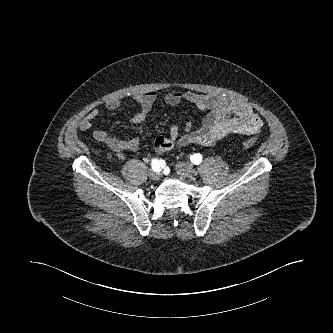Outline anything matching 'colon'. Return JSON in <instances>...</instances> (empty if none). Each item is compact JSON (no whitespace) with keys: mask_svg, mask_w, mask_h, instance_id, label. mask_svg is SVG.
Segmentation results:
<instances>
[{"mask_svg":"<svg viewBox=\"0 0 333 333\" xmlns=\"http://www.w3.org/2000/svg\"><path fill=\"white\" fill-rule=\"evenodd\" d=\"M255 145V142L251 139H248V140H245L243 143H242V146L244 149H251L253 146Z\"/></svg>","mask_w":333,"mask_h":333,"instance_id":"colon-1","label":"colon"}]
</instances>
